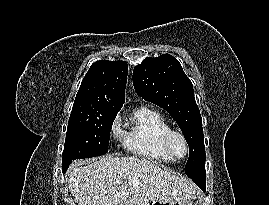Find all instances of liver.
Masks as SVG:
<instances>
[{"instance_id":"liver-1","label":"liver","mask_w":269,"mask_h":205,"mask_svg":"<svg viewBox=\"0 0 269 205\" xmlns=\"http://www.w3.org/2000/svg\"><path fill=\"white\" fill-rule=\"evenodd\" d=\"M67 181L78 205H147L193 199L196 192L188 180L137 156L108 155L87 166L74 164Z\"/></svg>"}]
</instances>
